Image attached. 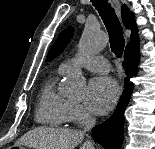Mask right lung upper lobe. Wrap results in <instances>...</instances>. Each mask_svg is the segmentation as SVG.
<instances>
[{
  "mask_svg": "<svg viewBox=\"0 0 155 149\" xmlns=\"http://www.w3.org/2000/svg\"><path fill=\"white\" fill-rule=\"evenodd\" d=\"M122 20L127 29H131V40L126 46L125 54L127 55H139V39L138 30L136 28L135 18L133 13L128 9L126 5H123L122 10Z\"/></svg>",
  "mask_w": 155,
  "mask_h": 149,
  "instance_id": "right-lung-upper-lobe-1",
  "label": "right lung upper lobe"
}]
</instances>
